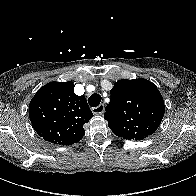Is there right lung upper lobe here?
Returning <instances> with one entry per match:
<instances>
[{
	"label": "right lung upper lobe",
	"mask_w": 196,
	"mask_h": 196,
	"mask_svg": "<svg viewBox=\"0 0 196 196\" xmlns=\"http://www.w3.org/2000/svg\"><path fill=\"white\" fill-rule=\"evenodd\" d=\"M93 116L84 96L74 93L68 82H51L41 87L29 104L34 130L57 145L78 142L85 134L83 125Z\"/></svg>",
	"instance_id": "1"
}]
</instances>
